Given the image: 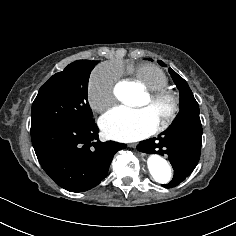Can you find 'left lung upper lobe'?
<instances>
[{"instance_id":"left-lung-upper-lobe-1","label":"left lung upper lobe","mask_w":236,"mask_h":236,"mask_svg":"<svg viewBox=\"0 0 236 236\" xmlns=\"http://www.w3.org/2000/svg\"><path fill=\"white\" fill-rule=\"evenodd\" d=\"M158 63L162 66H165V64L160 60ZM169 72L180 91V111L172 124L201 126L199 105L195 100L188 84L171 68H169Z\"/></svg>"}]
</instances>
